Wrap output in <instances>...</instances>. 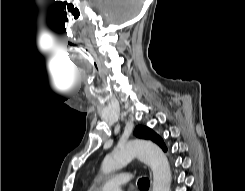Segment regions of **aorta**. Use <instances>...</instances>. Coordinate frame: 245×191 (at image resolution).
<instances>
[{
	"label": "aorta",
	"mask_w": 245,
	"mask_h": 191,
	"mask_svg": "<svg viewBox=\"0 0 245 191\" xmlns=\"http://www.w3.org/2000/svg\"><path fill=\"white\" fill-rule=\"evenodd\" d=\"M135 157L150 166L153 172L152 191H170L171 170L168 159L163 151L150 141L133 140L118 146L104 158L101 171L103 174L114 172Z\"/></svg>",
	"instance_id": "1"
}]
</instances>
